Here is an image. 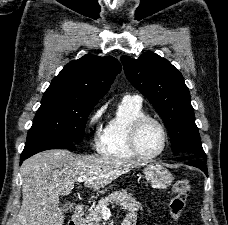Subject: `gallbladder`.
Returning <instances> with one entry per match:
<instances>
[{
    "instance_id": "bac80fb5",
    "label": "gallbladder",
    "mask_w": 228,
    "mask_h": 225,
    "mask_svg": "<svg viewBox=\"0 0 228 225\" xmlns=\"http://www.w3.org/2000/svg\"><path fill=\"white\" fill-rule=\"evenodd\" d=\"M73 203H70V201H67V203H63V205H61V209H63V211H69V213H71V211H73Z\"/></svg>"
}]
</instances>
